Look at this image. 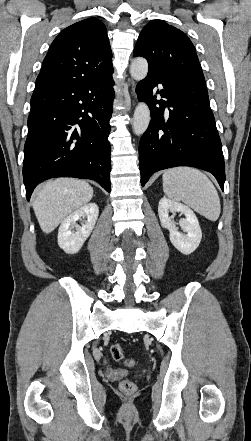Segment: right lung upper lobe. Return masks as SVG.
I'll use <instances>...</instances> for the list:
<instances>
[{"label":"right lung upper lobe","mask_w":251,"mask_h":441,"mask_svg":"<svg viewBox=\"0 0 251 441\" xmlns=\"http://www.w3.org/2000/svg\"><path fill=\"white\" fill-rule=\"evenodd\" d=\"M113 70L105 25L88 18L65 28L44 58L36 86L79 82Z\"/></svg>","instance_id":"right-lung-upper-lobe-1"}]
</instances>
